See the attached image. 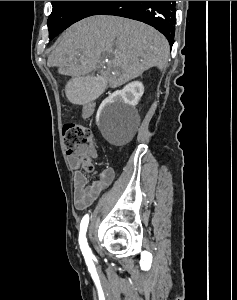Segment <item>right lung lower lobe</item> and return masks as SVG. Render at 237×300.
<instances>
[{
	"mask_svg": "<svg viewBox=\"0 0 237 300\" xmlns=\"http://www.w3.org/2000/svg\"><path fill=\"white\" fill-rule=\"evenodd\" d=\"M175 1H106L93 15H115L149 24L172 46L175 35Z\"/></svg>",
	"mask_w": 237,
	"mask_h": 300,
	"instance_id": "1",
	"label": "right lung lower lobe"
}]
</instances>
